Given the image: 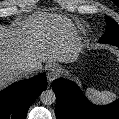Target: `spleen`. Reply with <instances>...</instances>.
Masks as SVG:
<instances>
[{
	"mask_svg": "<svg viewBox=\"0 0 119 119\" xmlns=\"http://www.w3.org/2000/svg\"><path fill=\"white\" fill-rule=\"evenodd\" d=\"M87 97L94 103L104 105L113 102L116 95L110 91H98L94 88L86 90Z\"/></svg>",
	"mask_w": 119,
	"mask_h": 119,
	"instance_id": "spleen-1",
	"label": "spleen"
}]
</instances>
